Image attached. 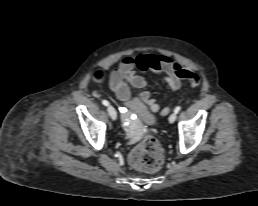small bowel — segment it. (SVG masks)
<instances>
[{
    "mask_svg": "<svg viewBox=\"0 0 258 206\" xmlns=\"http://www.w3.org/2000/svg\"><path fill=\"white\" fill-rule=\"evenodd\" d=\"M137 71H152L164 78L168 86L177 91L181 88L184 80L199 83V76L182 64L162 54H144L136 58L126 56L121 59L118 66L109 75V87L120 100L128 99L130 86L134 88H145L147 81ZM194 85V86H195ZM141 98L150 105L152 111L160 109L157 101L151 98L149 91H143ZM168 112V107L162 110V114Z\"/></svg>",
    "mask_w": 258,
    "mask_h": 206,
    "instance_id": "c3829d8e",
    "label": "small bowel"
}]
</instances>
